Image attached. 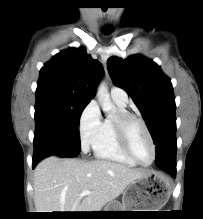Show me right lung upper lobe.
I'll use <instances>...</instances> for the list:
<instances>
[{
    "label": "right lung upper lobe",
    "mask_w": 203,
    "mask_h": 219,
    "mask_svg": "<svg viewBox=\"0 0 203 219\" xmlns=\"http://www.w3.org/2000/svg\"><path fill=\"white\" fill-rule=\"evenodd\" d=\"M102 75L101 63L88 55L85 48H70L44 64L37 89H55L90 101Z\"/></svg>",
    "instance_id": "1"
}]
</instances>
